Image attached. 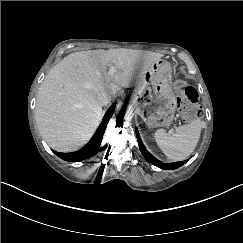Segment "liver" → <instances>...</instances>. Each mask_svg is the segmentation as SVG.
Masks as SVG:
<instances>
[{
	"label": "liver",
	"instance_id": "obj_1",
	"mask_svg": "<svg viewBox=\"0 0 243 243\" xmlns=\"http://www.w3.org/2000/svg\"><path fill=\"white\" fill-rule=\"evenodd\" d=\"M163 57L151 51L118 48L75 52L41 83L35 121L43 139L58 151H73L93 134L102 115L98 93L128 88L136 71L144 74Z\"/></svg>",
	"mask_w": 243,
	"mask_h": 243
}]
</instances>
